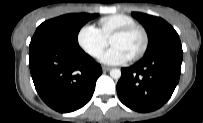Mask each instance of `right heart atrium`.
<instances>
[{
    "mask_svg": "<svg viewBox=\"0 0 203 123\" xmlns=\"http://www.w3.org/2000/svg\"><path fill=\"white\" fill-rule=\"evenodd\" d=\"M79 46L90 56L98 58L108 45V39L101 30L93 25L86 24L77 34Z\"/></svg>",
    "mask_w": 203,
    "mask_h": 123,
    "instance_id": "right-heart-atrium-1",
    "label": "right heart atrium"
}]
</instances>
